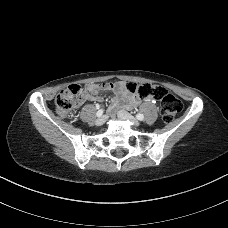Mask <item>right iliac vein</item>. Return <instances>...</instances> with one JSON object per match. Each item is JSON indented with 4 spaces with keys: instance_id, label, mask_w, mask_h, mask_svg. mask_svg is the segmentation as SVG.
Segmentation results:
<instances>
[{
    "instance_id": "obj_1",
    "label": "right iliac vein",
    "mask_w": 228,
    "mask_h": 228,
    "mask_svg": "<svg viewBox=\"0 0 228 228\" xmlns=\"http://www.w3.org/2000/svg\"><path fill=\"white\" fill-rule=\"evenodd\" d=\"M107 117L106 116H102V117H99L96 121H95V124L97 126H101L105 123Z\"/></svg>"
}]
</instances>
